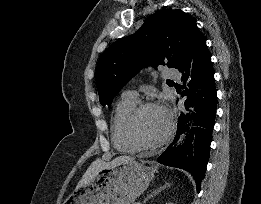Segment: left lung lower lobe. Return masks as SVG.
<instances>
[{"label":"left lung lower lobe","mask_w":261,"mask_h":204,"mask_svg":"<svg viewBox=\"0 0 261 204\" xmlns=\"http://www.w3.org/2000/svg\"><path fill=\"white\" fill-rule=\"evenodd\" d=\"M182 72V81L188 83L182 96H188L185 106H195L193 112L192 127L188 131L186 140L178 149L172 145L179 136L187 129L185 125L190 117L181 113L178 119V130L173 143L163 152L158 162L177 167L191 173L195 179L197 191L200 192L201 181L205 176L206 166L209 159L212 131L215 123L217 105L216 87L214 83V71L212 68L211 55L206 45L204 35L199 31L178 68ZM192 96V100L189 97Z\"/></svg>","instance_id":"0a47b994"}]
</instances>
